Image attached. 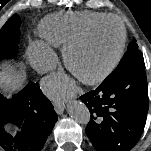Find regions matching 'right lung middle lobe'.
I'll use <instances>...</instances> for the list:
<instances>
[{
	"instance_id": "1",
	"label": "right lung middle lobe",
	"mask_w": 151,
	"mask_h": 151,
	"mask_svg": "<svg viewBox=\"0 0 151 151\" xmlns=\"http://www.w3.org/2000/svg\"><path fill=\"white\" fill-rule=\"evenodd\" d=\"M20 17L13 15L0 30V60L14 58L19 42Z\"/></svg>"
}]
</instances>
